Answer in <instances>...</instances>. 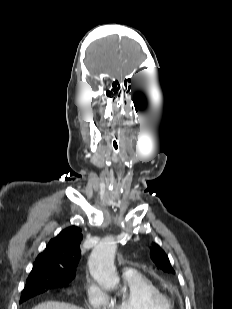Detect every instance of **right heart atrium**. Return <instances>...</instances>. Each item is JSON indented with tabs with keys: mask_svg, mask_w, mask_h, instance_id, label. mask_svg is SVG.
Instances as JSON below:
<instances>
[{
	"mask_svg": "<svg viewBox=\"0 0 232 309\" xmlns=\"http://www.w3.org/2000/svg\"><path fill=\"white\" fill-rule=\"evenodd\" d=\"M86 295L90 305L94 309H107L109 298L106 292L95 282L88 281L86 285Z\"/></svg>",
	"mask_w": 232,
	"mask_h": 309,
	"instance_id": "obj_1",
	"label": "right heart atrium"
}]
</instances>
